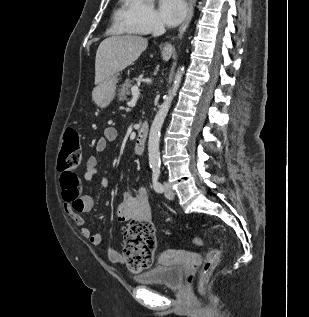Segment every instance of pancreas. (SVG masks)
Segmentation results:
<instances>
[{"label":"pancreas","mask_w":309,"mask_h":317,"mask_svg":"<svg viewBox=\"0 0 309 317\" xmlns=\"http://www.w3.org/2000/svg\"><path fill=\"white\" fill-rule=\"evenodd\" d=\"M133 87L132 80H126L125 83L122 84L121 89L119 90L118 97L120 101H125L127 96L130 95L131 89Z\"/></svg>","instance_id":"cf45deb5"}]
</instances>
